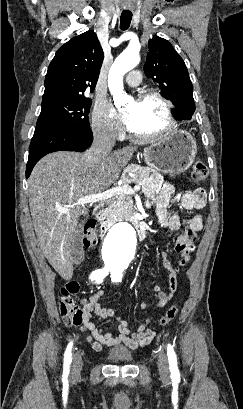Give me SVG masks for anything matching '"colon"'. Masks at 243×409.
<instances>
[{
    "mask_svg": "<svg viewBox=\"0 0 243 409\" xmlns=\"http://www.w3.org/2000/svg\"><path fill=\"white\" fill-rule=\"evenodd\" d=\"M191 176L196 182L204 181L208 176L206 165L196 160L191 166ZM97 242L94 223L89 222L84 230L83 244L85 247H93ZM79 291V284L75 281L68 282L60 289L59 313L67 325H80L83 322V309L75 302L73 296ZM179 313V306H170L164 315L159 319V325L164 326L176 318Z\"/></svg>",
    "mask_w": 243,
    "mask_h": 409,
    "instance_id": "1",
    "label": "colon"
}]
</instances>
